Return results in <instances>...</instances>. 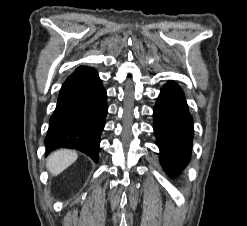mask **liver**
I'll return each mask as SVG.
<instances>
[{
  "mask_svg": "<svg viewBox=\"0 0 247 226\" xmlns=\"http://www.w3.org/2000/svg\"><path fill=\"white\" fill-rule=\"evenodd\" d=\"M78 158L75 151L60 149L51 153L46 162V167L52 175H58L67 169Z\"/></svg>",
  "mask_w": 247,
  "mask_h": 226,
  "instance_id": "1",
  "label": "liver"
}]
</instances>
